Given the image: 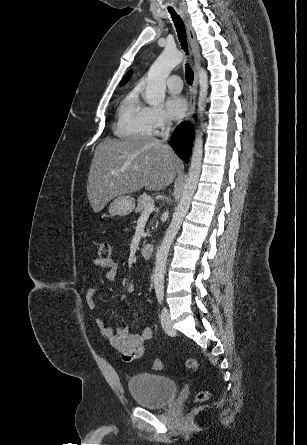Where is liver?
Listing matches in <instances>:
<instances>
[{
	"instance_id": "obj_1",
	"label": "liver",
	"mask_w": 307,
	"mask_h": 445,
	"mask_svg": "<svg viewBox=\"0 0 307 445\" xmlns=\"http://www.w3.org/2000/svg\"><path fill=\"white\" fill-rule=\"evenodd\" d=\"M179 164L168 144L155 136L104 138L97 144L87 180V194L94 212L115 196L141 190H162L173 182ZM110 170H121L110 174Z\"/></svg>"
}]
</instances>
